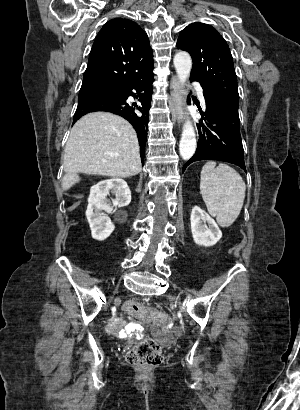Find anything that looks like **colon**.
<instances>
[{
	"label": "colon",
	"mask_w": 300,
	"mask_h": 410,
	"mask_svg": "<svg viewBox=\"0 0 300 410\" xmlns=\"http://www.w3.org/2000/svg\"><path fill=\"white\" fill-rule=\"evenodd\" d=\"M126 310L134 315L142 317L138 323L141 325H156L164 327L171 319L170 313H163L159 308H149L136 301L125 303ZM128 364L138 368H150L162 362L160 346L151 339L144 340L132 347L126 354Z\"/></svg>",
	"instance_id": "1"
}]
</instances>
